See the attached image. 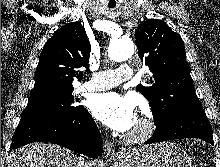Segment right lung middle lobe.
I'll list each match as a JSON object with an SVG mask.
<instances>
[{
    "label": "right lung middle lobe",
    "mask_w": 220,
    "mask_h": 167,
    "mask_svg": "<svg viewBox=\"0 0 220 167\" xmlns=\"http://www.w3.org/2000/svg\"><path fill=\"white\" fill-rule=\"evenodd\" d=\"M73 88L43 96L29 99L21 118L40 115L44 113L71 114L79 110L78 99L72 95Z\"/></svg>",
    "instance_id": "right-lung-middle-lobe-1"
}]
</instances>
